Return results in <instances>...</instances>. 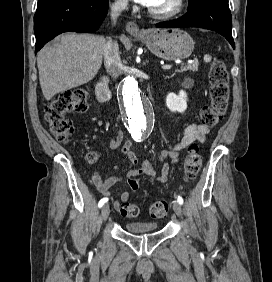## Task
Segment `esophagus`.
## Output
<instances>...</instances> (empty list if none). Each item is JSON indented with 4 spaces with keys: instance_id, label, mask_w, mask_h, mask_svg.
Here are the masks:
<instances>
[{
    "instance_id": "obj_1",
    "label": "esophagus",
    "mask_w": 272,
    "mask_h": 282,
    "mask_svg": "<svg viewBox=\"0 0 272 282\" xmlns=\"http://www.w3.org/2000/svg\"><path fill=\"white\" fill-rule=\"evenodd\" d=\"M126 31L132 35H138L140 33L138 25L133 21L127 22Z\"/></svg>"
}]
</instances>
